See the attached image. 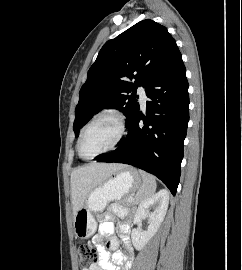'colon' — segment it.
Masks as SVG:
<instances>
[{
  "label": "colon",
  "mask_w": 242,
  "mask_h": 270,
  "mask_svg": "<svg viewBox=\"0 0 242 270\" xmlns=\"http://www.w3.org/2000/svg\"><path fill=\"white\" fill-rule=\"evenodd\" d=\"M79 265L84 270L98 259V252L88 244L78 247Z\"/></svg>",
  "instance_id": "obj_1"
}]
</instances>
